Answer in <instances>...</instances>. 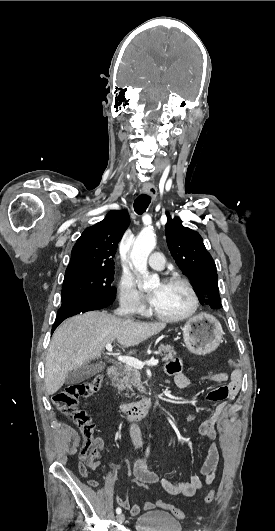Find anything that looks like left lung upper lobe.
Listing matches in <instances>:
<instances>
[{
    "mask_svg": "<svg viewBox=\"0 0 275 531\" xmlns=\"http://www.w3.org/2000/svg\"><path fill=\"white\" fill-rule=\"evenodd\" d=\"M168 248L182 272L190 279L201 304L221 308L215 262L200 234L168 215L165 225Z\"/></svg>",
    "mask_w": 275,
    "mask_h": 531,
    "instance_id": "5c2ea615",
    "label": "left lung upper lobe"
}]
</instances>
